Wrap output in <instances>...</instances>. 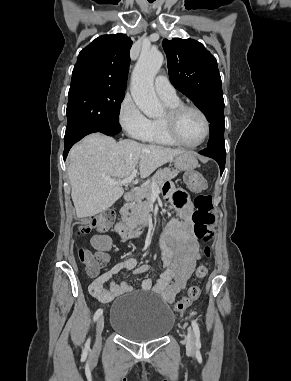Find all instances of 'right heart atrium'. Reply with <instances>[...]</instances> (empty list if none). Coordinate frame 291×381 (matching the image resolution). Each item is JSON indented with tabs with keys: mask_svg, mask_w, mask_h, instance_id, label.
<instances>
[{
	"mask_svg": "<svg viewBox=\"0 0 291 381\" xmlns=\"http://www.w3.org/2000/svg\"><path fill=\"white\" fill-rule=\"evenodd\" d=\"M118 121L128 136L139 140L144 138L149 128V119L129 95L119 105Z\"/></svg>",
	"mask_w": 291,
	"mask_h": 381,
	"instance_id": "1",
	"label": "right heart atrium"
}]
</instances>
